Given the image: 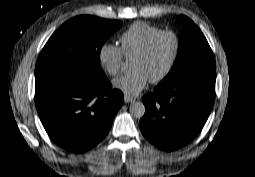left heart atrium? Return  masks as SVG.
Listing matches in <instances>:
<instances>
[{
	"instance_id": "1",
	"label": "left heart atrium",
	"mask_w": 255,
	"mask_h": 177,
	"mask_svg": "<svg viewBox=\"0 0 255 177\" xmlns=\"http://www.w3.org/2000/svg\"><path fill=\"white\" fill-rule=\"evenodd\" d=\"M148 77L141 71H134L114 81V87L128 96L138 95L147 85Z\"/></svg>"
}]
</instances>
